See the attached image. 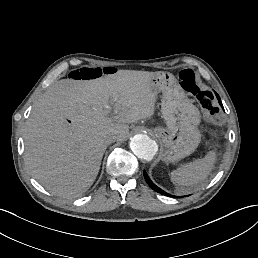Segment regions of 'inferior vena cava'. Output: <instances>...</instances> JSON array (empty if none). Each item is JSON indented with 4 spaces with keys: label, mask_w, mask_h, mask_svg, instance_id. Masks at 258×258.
<instances>
[{
    "label": "inferior vena cava",
    "mask_w": 258,
    "mask_h": 258,
    "mask_svg": "<svg viewBox=\"0 0 258 258\" xmlns=\"http://www.w3.org/2000/svg\"><path fill=\"white\" fill-rule=\"evenodd\" d=\"M116 140H117V136L115 134L110 133L104 136V143L106 145H109L115 142Z\"/></svg>",
    "instance_id": "1"
}]
</instances>
